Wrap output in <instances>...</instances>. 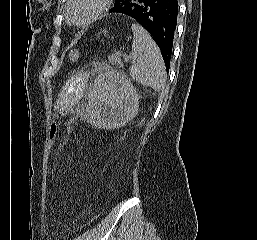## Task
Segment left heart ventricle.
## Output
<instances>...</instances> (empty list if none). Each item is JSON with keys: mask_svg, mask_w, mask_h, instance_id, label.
<instances>
[{"mask_svg": "<svg viewBox=\"0 0 257 240\" xmlns=\"http://www.w3.org/2000/svg\"><path fill=\"white\" fill-rule=\"evenodd\" d=\"M98 6V0H75L70 6L73 22H80L88 17Z\"/></svg>", "mask_w": 257, "mask_h": 240, "instance_id": "obj_1", "label": "left heart ventricle"}]
</instances>
